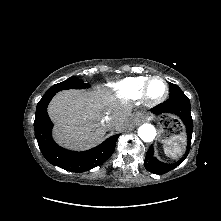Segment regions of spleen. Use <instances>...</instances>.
<instances>
[{"mask_svg":"<svg viewBox=\"0 0 221 221\" xmlns=\"http://www.w3.org/2000/svg\"><path fill=\"white\" fill-rule=\"evenodd\" d=\"M186 137L184 134L171 137L164 145V152L167 156L177 158L181 155Z\"/></svg>","mask_w":221,"mask_h":221,"instance_id":"obj_1","label":"spleen"}]
</instances>
